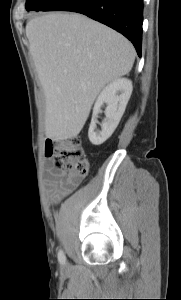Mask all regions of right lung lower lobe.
<instances>
[{
    "label": "right lung lower lobe",
    "mask_w": 181,
    "mask_h": 300,
    "mask_svg": "<svg viewBox=\"0 0 181 300\" xmlns=\"http://www.w3.org/2000/svg\"><path fill=\"white\" fill-rule=\"evenodd\" d=\"M42 11L82 13L123 34L141 56L143 0H55Z\"/></svg>",
    "instance_id": "right-lung-lower-lobe-1"
}]
</instances>
